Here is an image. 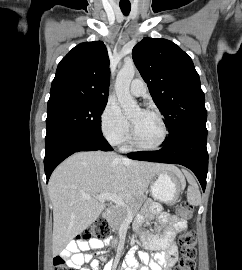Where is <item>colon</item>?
I'll list each match as a JSON object with an SVG mask.
<instances>
[{"mask_svg": "<svg viewBox=\"0 0 242 270\" xmlns=\"http://www.w3.org/2000/svg\"><path fill=\"white\" fill-rule=\"evenodd\" d=\"M175 214L183 219H189L192 216V207L187 202H181L175 210ZM110 235V227L107 220L101 218L95 221L88 229H86L77 241H87L94 239L107 238ZM196 233L188 231L180 237L181 255L182 259L176 270H196ZM55 270H67L65 260L61 256L54 258Z\"/></svg>", "mask_w": 242, "mask_h": 270, "instance_id": "1", "label": "colon"}]
</instances>
